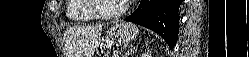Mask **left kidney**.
<instances>
[{
    "mask_svg": "<svg viewBox=\"0 0 249 57\" xmlns=\"http://www.w3.org/2000/svg\"><path fill=\"white\" fill-rule=\"evenodd\" d=\"M141 57H152L151 53L149 51L143 53Z\"/></svg>",
    "mask_w": 249,
    "mask_h": 57,
    "instance_id": "obj_1",
    "label": "left kidney"
}]
</instances>
